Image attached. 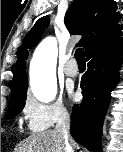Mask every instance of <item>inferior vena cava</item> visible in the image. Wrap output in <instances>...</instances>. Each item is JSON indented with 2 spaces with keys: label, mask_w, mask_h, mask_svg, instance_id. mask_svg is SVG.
Here are the masks:
<instances>
[{
  "label": "inferior vena cava",
  "mask_w": 123,
  "mask_h": 152,
  "mask_svg": "<svg viewBox=\"0 0 123 152\" xmlns=\"http://www.w3.org/2000/svg\"><path fill=\"white\" fill-rule=\"evenodd\" d=\"M56 131L62 136L66 152H74L70 137V116L67 111H61L56 122Z\"/></svg>",
  "instance_id": "obj_1"
}]
</instances>
